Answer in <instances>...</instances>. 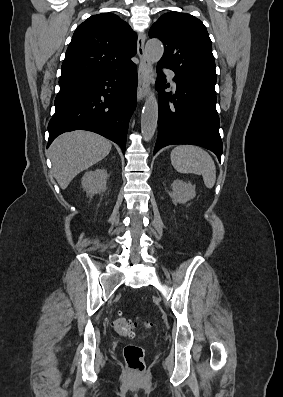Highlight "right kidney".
I'll list each match as a JSON object with an SVG mask.
<instances>
[{
    "label": "right kidney",
    "instance_id": "1",
    "mask_svg": "<svg viewBox=\"0 0 283 397\" xmlns=\"http://www.w3.org/2000/svg\"><path fill=\"white\" fill-rule=\"evenodd\" d=\"M108 179L107 171L97 168L94 171H88L82 178L83 189L89 196L101 193L106 190V183Z\"/></svg>",
    "mask_w": 283,
    "mask_h": 397
}]
</instances>
